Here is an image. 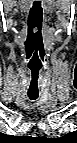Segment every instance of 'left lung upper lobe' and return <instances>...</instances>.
<instances>
[{"label": "left lung upper lobe", "instance_id": "1", "mask_svg": "<svg viewBox=\"0 0 77 143\" xmlns=\"http://www.w3.org/2000/svg\"><path fill=\"white\" fill-rule=\"evenodd\" d=\"M64 140H72L75 138V134L74 132L68 133L67 135H65L64 137H62Z\"/></svg>", "mask_w": 77, "mask_h": 143}]
</instances>
